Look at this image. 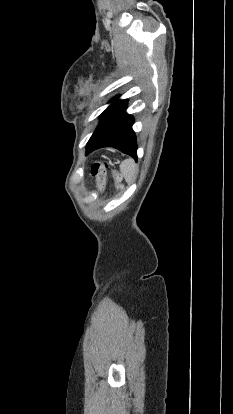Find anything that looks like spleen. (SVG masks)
I'll return each mask as SVG.
<instances>
[{"label":"spleen","mask_w":233,"mask_h":414,"mask_svg":"<svg viewBox=\"0 0 233 414\" xmlns=\"http://www.w3.org/2000/svg\"><path fill=\"white\" fill-rule=\"evenodd\" d=\"M120 170L128 183L136 177L137 167L131 159L123 161L120 165Z\"/></svg>","instance_id":"obj_1"}]
</instances>
